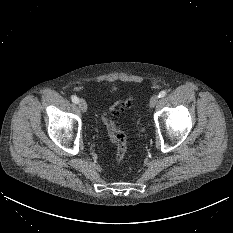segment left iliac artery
Returning a JSON list of instances; mask_svg holds the SVG:
<instances>
[{
    "instance_id": "44dca946",
    "label": "left iliac artery",
    "mask_w": 233,
    "mask_h": 233,
    "mask_svg": "<svg viewBox=\"0 0 233 233\" xmlns=\"http://www.w3.org/2000/svg\"><path fill=\"white\" fill-rule=\"evenodd\" d=\"M166 94H167L166 91L163 90V91H161V92L159 93L158 97H159V98H163V97L166 96Z\"/></svg>"
}]
</instances>
